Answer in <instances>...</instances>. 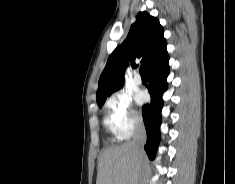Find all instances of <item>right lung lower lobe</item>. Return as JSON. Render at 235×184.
I'll return each mask as SVG.
<instances>
[{
	"label": "right lung lower lobe",
	"instance_id": "obj_1",
	"mask_svg": "<svg viewBox=\"0 0 235 184\" xmlns=\"http://www.w3.org/2000/svg\"><path fill=\"white\" fill-rule=\"evenodd\" d=\"M169 56L147 70L151 102L142 107L143 120L147 132L144 149L150 159L155 158L157 146L160 142L162 94L167 89L166 78L169 74Z\"/></svg>",
	"mask_w": 235,
	"mask_h": 184
}]
</instances>
